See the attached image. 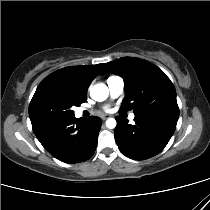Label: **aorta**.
Segmentation results:
<instances>
[{
  "label": "aorta",
  "instance_id": "762f6f07",
  "mask_svg": "<svg viewBox=\"0 0 210 210\" xmlns=\"http://www.w3.org/2000/svg\"><path fill=\"white\" fill-rule=\"evenodd\" d=\"M108 95L109 89L103 83L95 84L90 89V96L95 101L102 102L108 98ZM116 124L117 122L114 118H109L106 120V127L109 129H114L116 127Z\"/></svg>",
  "mask_w": 210,
  "mask_h": 210
}]
</instances>
